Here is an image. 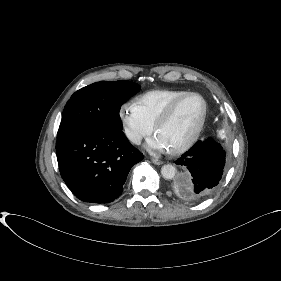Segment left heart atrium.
<instances>
[{"instance_id": "obj_1", "label": "left heart atrium", "mask_w": 281, "mask_h": 281, "mask_svg": "<svg viewBox=\"0 0 281 281\" xmlns=\"http://www.w3.org/2000/svg\"><path fill=\"white\" fill-rule=\"evenodd\" d=\"M149 147L160 151H164L167 149L157 136L149 142Z\"/></svg>"}]
</instances>
